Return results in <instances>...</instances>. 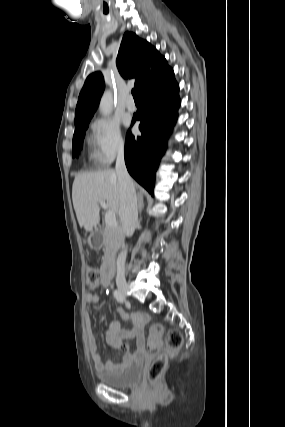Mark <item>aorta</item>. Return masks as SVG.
Masks as SVG:
<instances>
[{
    "instance_id": "aorta-1",
    "label": "aorta",
    "mask_w": 285,
    "mask_h": 427,
    "mask_svg": "<svg viewBox=\"0 0 285 427\" xmlns=\"http://www.w3.org/2000/svg\"><path fill=\"white\" fill-rule=\"evenodd\" d=\"M99 110L103 116H109L113 111V96L111 91H105L101 97Z\"/></svg>"
}]
</instances>
